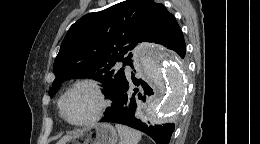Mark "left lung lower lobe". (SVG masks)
<instances>
[{"instance_id":"0a47b994","label":"left lung lower lobe","mask_w":260,"mask_h":144,"mask_svg":"<svg viewBox=\"0 0 260 144\" xmlns=\"http://www.w3.org/2000/svg\"><path fill=\"white\" fill-rule=\"evenodd\" d=\"M165 47L174 50L181 58L185 57L186 46L182 31H180ZM134 69L133 65L131 66ZM125 76L112 98L113 104L105 112L100 122H111L127 125L149 135L157 144H169L174 131L173 123L153 124L145 123L141 118V102L151 97L152 88L141 78Z\"/></svg>"}]
</instances>
